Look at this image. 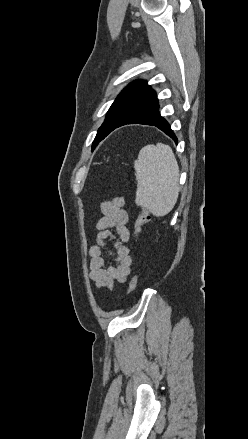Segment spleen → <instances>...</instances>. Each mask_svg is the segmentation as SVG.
<instances>
[{
	"mask_svg": "<svg viewBox=\"0 0 248 439\" xmlns=\"http://www.w3.org/2000/svg\"><path fill=\"white\" fill-rule=\"evenodd\" d=\"M137 190L135 203L156 217L167 215L179 195V166L169 145L143 147L134 162Z\"/></svg>",
	"mask_w": 248,
	"mask_h": 439,
	"instance_id": "spleen-1",
	"label": "spleen"
}]
</instances>
